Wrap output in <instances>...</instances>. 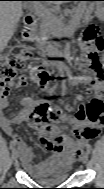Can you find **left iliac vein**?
<instances>
[{
    "label": "left iliac vein",
    "instance_id": "obj_1",
    "mask_svg": "<svg viewBox=\"0 0 104 189\" xmlns=\"http://www.w3.org/2000/svg\"><path fill=\"white\" fill-rule=\"evenodd\" d=\"M81 160H82V162H83L84 164L87 163V161H88V153H87V152H85V153L82 155Z\"/></svg>",
    "mask_w": 104,
    "mask_h": 189
}]
</instances>
